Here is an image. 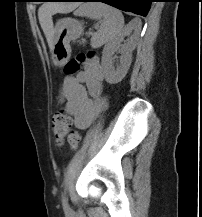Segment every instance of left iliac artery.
I'll list each match as a JSON object with an SVG mask.
<instances>
[{"instance_id": "obj_1", "label": "left iliac artery", "mask_w": 202, "mask_h": 217, "mask_svg": "<svg viewBox=\"0 0 202 217\" xmlns=\"http://www.w3.org/2000/svg\"><path fill=\"white\" fill-rule=\"evenodd\" d=\"M62 205H63V208L65 210H68L69 209V205H68V199L66 197V194H63L62 196Z\"/></svg>"}]
</instances>
